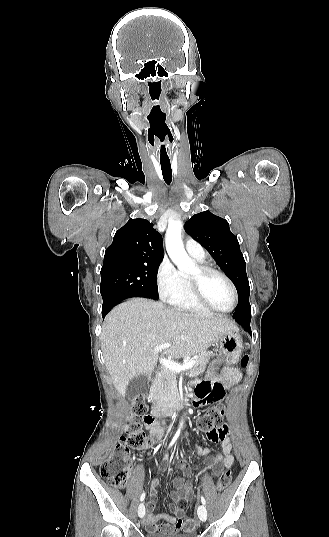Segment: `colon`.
I'll return each mask as SVG.
<instances>
[{
    "mask_svg": "<svg viewBox=\"0 0 329 537\" xmlns=\"http://www.w3.org/2000/svg\"><path fill=\"white\" fill-rule=\"evenodd\" d=\"M249 361L247 354L243 355L240 361L245 367ZM220 400L217 406L212 407L202 415L197 421V429L206 433L211 430H221L225 415V406ZM134 408L128 422L125 435L121 436L113 452L103 462L100 473L102 478L113 488H124L129 478L128 459L131 450H146L157 443L161 437L159 431L146 434L143 430V423L150 424L154 418L149 414L148 408L142 397L137 396L133 400ZM194 405V402H193ZM206 406V405H205ZM232 480L230 469H225L219 477L217 487L220 491L226 489ZM182 531L186 535L193 533L197 527V522L193 518L181 519Z\"/></svg>",
    "mask_w": 329,
    "mask_h": 537,
    "instance_id": "1",
    "label": "colon"
}]
</instances>
